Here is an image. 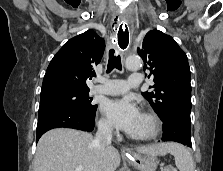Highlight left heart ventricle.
Returning a JSON list of instances; mask_svg holds the SVG:
<instances>
[{
    "label": "left heart ventricle",
    "mask_w": 223,
    "mask_h": 171,
    "mask_svg": "<svg viewBox=\"0 0 223 171\" xmlns=\"http://www.w3.org/2000/svg\"><path fill=\"white\" fill-rule=\"evenodd\" d=\"M151 131H152V124L150 120L141 114L136 125L129 134L142 136L149 134Z\"/></svg>",
    "instance_id": "left-heart-ventricle-1"
}]
</instances>
